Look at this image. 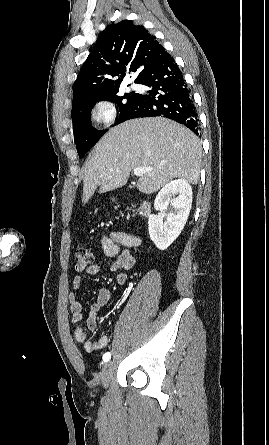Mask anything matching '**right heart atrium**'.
Listing matches in <instances>:
<instances>
[{
    "mask_svg": "<svg viewBox=\"0 0 269 445\" xmlns=\"http://www.w3.org/2000/svg\"><path fill=\"white\" fill-rule=\"evenodd\" d=\"M90 116L99 126L108 127L116 120V105L110 100H99L93 104L90 110Z\"/></svg>",
    "mask_w": 269,
    "mask_h": 445,
    "instance_id": "right-heart-atrium-1",
    "label": "right heart atrium"
}]
</instances>
